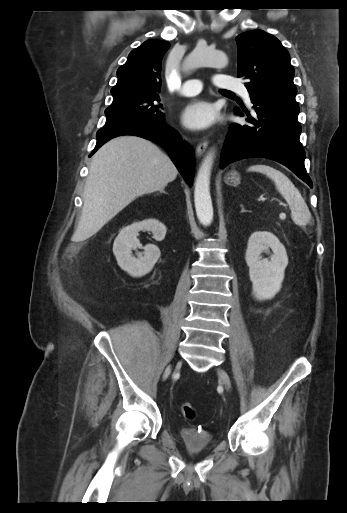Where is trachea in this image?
I'll list each match as a JSON object with an SVG mask.
<instances>
[{"mask_svg":"<svg viewBox=\"0 0 347 513\" xmlns=\"http://www.w3.org/2000/svg\"><path fill=\"white\" fill-rule=\"evenodd\" d=\"M222 93H228V94H232L231 91H227V90H221Z\"/></svg>","mask_w":347,"mask_h":513,"instance_id":"trachea-1","label":"trachea"}]
</instances>
